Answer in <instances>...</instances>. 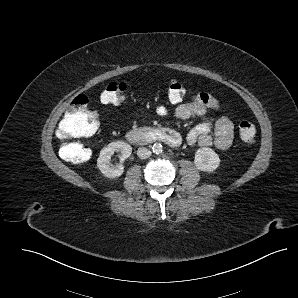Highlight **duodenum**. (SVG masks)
<instances>
[{
  "mask_svg": "<svg viewBox=\"0 0 298 298\" xmlns=\"http://www.w3.org/2000/svg\"><path fill=\"white\" fill-rule=\"evenodd\" d=\"M126 140L134 145H145L149 143L162 142L171 147L181 144L180 135L169 128H142L129 130Z\"/></svg>",
  "mask_w": 298,
  "mask_h": 298,
  "instance_id": "duodenum-1",
  "label": "duodenum"
}]
</instances>
